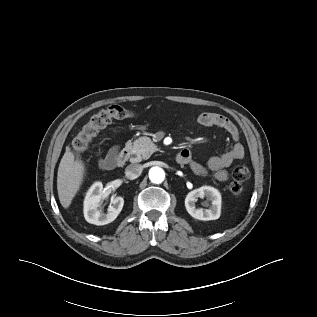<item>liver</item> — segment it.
<instances>
[{
  "label": "liver",
  "mask_w": 317,
  "mask_h": 317,
  "mask_svg": "<svg viewBox=\"0 0 317 317\" xmlns=\"http://www.w3.org/2000/svg\"><path fill=\"white\" fill-rule=\"evenodd\" d=\"M85 167L81 160H75L69 147L66 148L58 168L57 190L61 205L68 208L80 188Z\"/></svg>",
  "instance_id": "liver-1"
}]
</instances>
